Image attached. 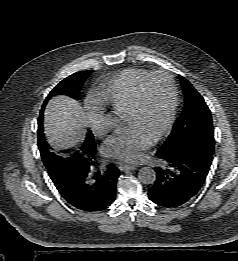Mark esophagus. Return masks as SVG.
I'll use <instances>...</instances> for the list:
<instances>
[{
    "label": "esophagus",
    "mask_w": 238,
    "mask_h": 261,
    "mask_svg": "<svg viewBox=\"0 0 238 261\" xmlns=\"http://www.w3.org/2000/svg\"><path fill=\"white\" fill-rule=\"evenodd\" d=\"M119 169H120L121 171H127V170H135L136 167L133 166V165L121 164V165L119 166Z\"/></svg>",
    "instance_id": "1"
}]
</instances>
